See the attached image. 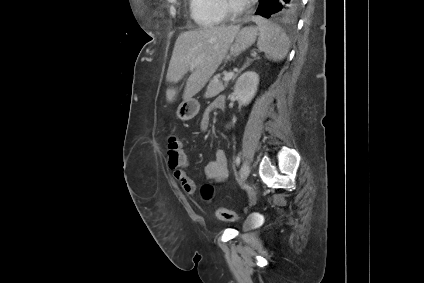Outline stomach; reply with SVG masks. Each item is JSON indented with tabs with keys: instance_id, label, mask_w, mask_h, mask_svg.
<instances>
[{
	"instance_id": "0dacf381",
	"label": "stomach",
	"mask_w": 424,
	"mask_h": 283,
	"mask_svg": "<svg viewBox=\"0 0 424 283\" xmlns=\"http://www.w3.org/2000/svg\"><path fill=\"white\" fill-rule=\"evenodd\" d=\"M256 37L257 29L253 27H245L241 29L237 33L235 41L231 46V54L234 56L239 55L256 41ZM199 110V102L191 97L183 100V102L179 105L176 114L180 120L188 121L195 117Z\"/></svg>"
}]
</instances>
